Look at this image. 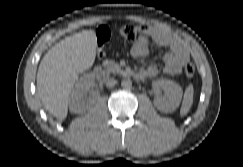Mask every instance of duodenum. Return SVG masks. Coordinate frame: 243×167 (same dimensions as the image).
Here are the masks:
<instances>
[{"label":"duodenum","mask_w":243,"mask_h":167,"mask_svg":"<svg viewBox=\"0 0 243 167\" xmlns=\"http://www.w3.org/2000/svg\"><path fill=\"white\" fill-rule=\"evenodd\" d=\"M93 74L97 80H102L105 77L103 66L97 65L93 70Z\"/></svg>","instance_id":"obj_1"}]
</instances>
